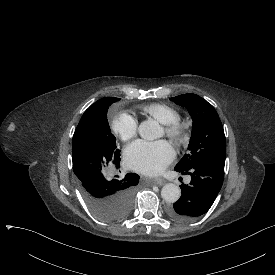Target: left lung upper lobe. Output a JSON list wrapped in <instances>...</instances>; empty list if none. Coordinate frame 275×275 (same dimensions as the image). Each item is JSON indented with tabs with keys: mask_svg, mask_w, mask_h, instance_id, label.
<instances>
[{
	"mask_svg": "<svg viewBox=\"0 0 275 275\" xmlns=\"http://www.w3.org/2000/svg\"><path fill=\"white\" fill-rule=\"evenodd\" d=\"M185 107L193 120L189 153L178 165L179 170H189L199 164H225L226 141L222 123L214 107L195 94H183L170 98Z\"/></svg>",
	"mask_w": 275,
	"mask_h": 275,
	"instance_id": "obj_1",
	"label": "left lung upper lobe"
}]
</instances>
